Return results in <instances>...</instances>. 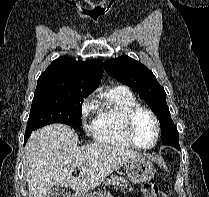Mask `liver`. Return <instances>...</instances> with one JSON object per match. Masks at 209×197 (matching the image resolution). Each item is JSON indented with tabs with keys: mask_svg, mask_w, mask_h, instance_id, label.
<instances>
[{
	"mask_svg": "<svg viewBox=\"0 0 209 197\" xmlns=\"http://www.w3.org/2000/svg\"><path fill=\"white\" fill-rule=\"evenodd\" d=\"M78 136L65 124H50L32 133L26 150L29 197H46L54 186L87 193L114 170L140 156L134 150L105 143L78 147ZM80 170L77 177L72 173Z\"/></svg>",
	"mask_w": 209,
	"mask_h": 197,
	"instance_id": "liver-1",
	"label": "liver"
}]
</instances>
